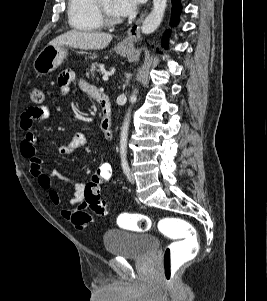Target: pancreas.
<instances>
[{"label":"pancreas","mask_w":267,"mask_h":301,"mask_svg":"<svg viewBox=\"0 0 267 301\" xmlns=\"http://www.w3.org/2000/svg\"><path fill=\"white\" fill-rule=\"evenodd\" d=\"M104 70H105V68L102 63L95 62V63H92L89 68L86 69V75L93 79L98 72L103 73Z\"/></svg>","instance_id":"obj_1"}]
</instances>
